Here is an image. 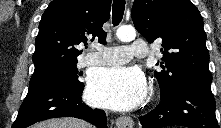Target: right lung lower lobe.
Returning a JSON list of instances; mask_svg holds the SVG:
<instances>
[{
  "label": "right lung lower lobe",
  "instance_id": "right-lung-lower-lobe-1",
  "mask_svg": "<svg viewBox=\"0 0 221 128\" xmlns=\"http://www.w3.org/2000/svg\"><path fill=\"white\" fill-rule=\"evenodd\" d=\"M82 91L83 88L65 83H49L29 90L12 128H26L56 117H76L98 128H107L105 112L83 103Z\"/></svg>",
  "mask_w": 221,
  "mask_h": 128
}]
</instances>
